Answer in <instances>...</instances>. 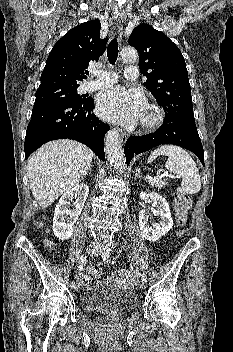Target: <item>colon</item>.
<instances>
[{
	"label": "colon",
	"instance_id": "colon-1",
	"mask_svg": "<svg viewBox=\"0 0 233 352\" xmlns=\"http://www.w3.org/2000/svg\"><path fill=\"white\" fill-rule=\"evenodd\" d=\"M190 207L191 199L189 195L183 191H178L174 197V209L176 213V221L179 226L186 224ZM48 246H50V244H48ZM102 270L103 267L100 264L91 265L87 271L86 281L100 278Z\"/></svg>",
	"mask_w": 233,
	"mask_h": 352
}]
</instances>
